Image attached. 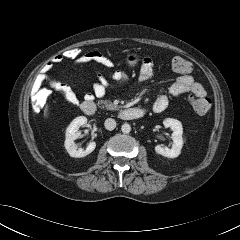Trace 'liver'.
<instances>
[{
  "label": "liver",
  "mask_w": 240,
  "mask_h": 240,
  "mask_svg": "<svg viewBox=\"0 0 240 240\" xmlns=\"http://www.w3.org/2000/svg\"><path fill=\"white\" fill-rule=\"evenodd\" d=\"M48 112V106H46L45 110H44V116L46 117L47 116V113Z\"/></svg>",
  "instance_id": "6515ba94"
}]
</instances>
